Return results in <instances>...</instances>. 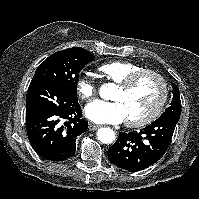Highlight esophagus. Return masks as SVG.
<instances>
[{
    "instance_id": "1",
    "label": "esophagus",
    "mask_w": 199,
    "mask_h": 199,
    "mask_svg": "<svg viewBox=\"0 0 199 199\" xmlns=\"http://www.w3.org/2000/svg\"><path fill=\"white\" fill-rule=\"evenodd\" d=\"M98 128H99L98 125H95V124H92V123L89 124V130H90V131H95V130H97Z\"/></svg>"
}]
</instances>
